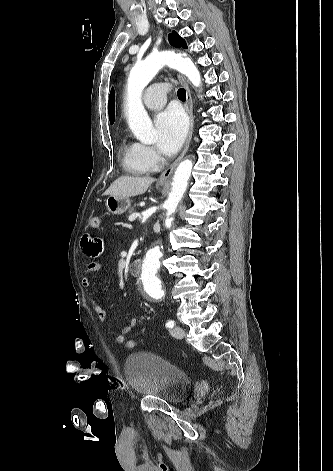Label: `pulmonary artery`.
Returning a JSON list of instances; mask_svg holds the SVG:
<instances>
[{"label": "pulmonary artery", "mask_w": 333, "mask_h": 471, "mask_svg": "<svg viewBox=\"0 0 333 471\" xmlns=\"http://www.w3.org/2000/svg\"><path fill=\"white\" fill-rule=\"evenodd\" d=\"M167 87L163 83L151 85L143 96L144 105L150 110H156L166 103Z\"/></svg>", "instance_id": "pulmonary-artery-1"}]
</instances>
